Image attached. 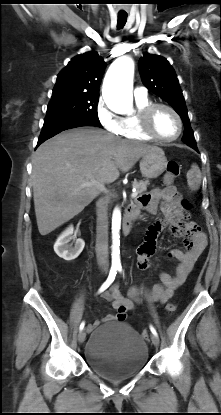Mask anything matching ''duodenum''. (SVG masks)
Here are the masks:
<instances>
[{
	"label": "duodenum",
	"mask_w": 221,
	"mask_h": 415,
	"mask_svg": "<svg viewBox=\"0 0 221 415\" xmlns=\"http://www.w3.org/2000/svg\"><path fill=\"white\" fill-rule=\"evenodd\" d=\"M138 210L134 206H129L125 212L123 219V232L129 234L132 231L133 223L137 218Z\"/></svg>",
	"instance_id": "obj_1"
}]
</instances>
